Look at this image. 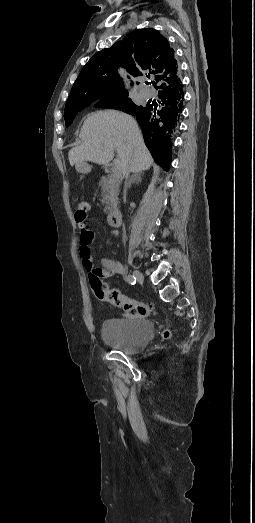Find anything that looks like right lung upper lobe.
I'll return each mask as SVG.
<instances>
[{
  "instance_id": "cb5924a9",
  "label": "right lung upper lobe",
  "mask_w": 255,
  "mask_h": 523,
  "mask_svg": "<svg viewBox=\"0 0 255 523\" xmlns=\"http://www.w3.org/2000/svg\"><path fill=\"white\" fill-rule=\"evenodd\" d=\"M120 66L134 77L151 76L154 79V87L159 90L158 104L137 106L129 100L123 109L136 116L155 162L168 170L184 92L174 50L157 30L147 28L131 32L122 41L96 53L81 70L66 104L128 94L117 73Z\"/></svg>"
}]
</instances>
